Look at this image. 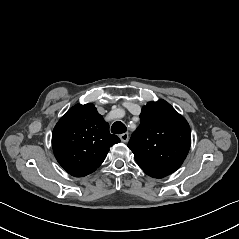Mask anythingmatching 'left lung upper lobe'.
<instances>
[{
  "mask_svg": "<svg viewBox=\"0 0 239 239\" xmlns=\"http://www.w3.org/2000/svg\"><path fill=\"white\" fill-rule=\"evenodd\" d=\"M140 121L128 143L139 167L154 178L176 171L191 145L186 119L168 102L159 100L142 108Z\"/></svg>",
  "mask_w": 239,
  "mask_h": 239,
  "instance_id": "left-lung-upper-lobe-1",
  "label": "left lung upper lobe"
}]
</instances>
